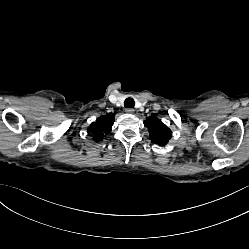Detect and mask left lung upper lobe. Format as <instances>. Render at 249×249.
Returning <instances> with one entry per match:
<instances>
[{
  "instance_id": "5c2ea615",
  "label": "left lung upper lobe",
  "mask_w": 249,
  "mask_h": 249,
  "mask_svg": "<svg viewBox=\"0 0 249 249\" xmlns=\"http://www.w3.org/2000/svg\"><path fill=\"white\" fill-rule=\"evenodd\" d=\"M144 125L148 128L152 143L164 146L172 137L171 130L153 115L146 118Z\"/></svg>"
}]
</instances>
